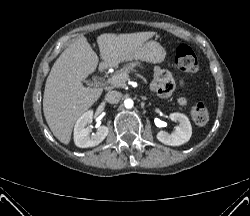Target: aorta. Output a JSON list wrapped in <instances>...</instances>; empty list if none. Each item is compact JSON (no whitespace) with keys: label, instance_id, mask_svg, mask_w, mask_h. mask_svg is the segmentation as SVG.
Wrapping results in <instances>:
<instances>
[{"label":"aorta","instance_id":"762f6f07","mask_svg":"<svg viewBox=\"0 0 250 216\" xmlns=\"http://www.w3.org/2000/svg\"><path fill=\"white\" fill-rule=\"evenodd\" d=\"M133 104H134V102H133L132 99H126V100L124 101V106H125L127 109L132 108V107H133Z\"/></svg>","mask_w":250,"mask_h":216}]
</instances>
